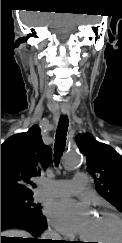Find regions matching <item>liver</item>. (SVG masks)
Returning <instances> with one entry per match:
<instances>
[{"label":"liver","mask_w":122,"mask_h":243,"mask_svg":"<svg viewBox=\"0 0 122 243\" xmlns=\"http://www.w3.org/2000/svg\"><path fill=\"white\" fill-rule=\"evenodd\" d=\"M1 236L30 238L31 235L23 230H6L1 232Z\"/></svg>","instance_id":"1"}]
</instances>
